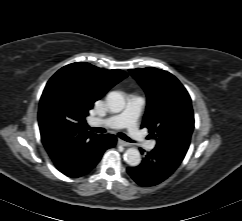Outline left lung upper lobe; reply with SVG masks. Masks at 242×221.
<instances>
[{"label": "left lung upper lobe", "instance_id": "left-lung-upper-lobe-1", "mask_svg": "<svg viewBox=\"0 0 242 221\" xmlns=\"http://www.w3.org/2000/svg\"><path fill=\"white\" fill-rule=\"evenodd\" d=\"M147 95L141 127L154 136L156 147L184 158L194 129L191 98L179 80L167 71L153 67L130 69Z\"/></svg>", "mask_w": 242, "mask_h": 221}]
</instances>
